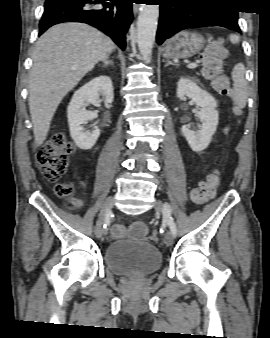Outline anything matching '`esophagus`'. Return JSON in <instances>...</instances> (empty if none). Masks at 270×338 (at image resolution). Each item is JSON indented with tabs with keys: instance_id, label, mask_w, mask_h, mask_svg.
<instances>
[{
	"instance_id": "34e87169",
	"label": "esophagus",
	"mask_w": 270,
	"mask_h": 338,
	"mask_svg": "<svg viewBox=\"0 0 270 338\" xmlns=\"http://www.w3.org/2000/svg\"><path fill=\"white\" fill-rule=\"evenodd\" d=\"M138 10H139L138 5L136 3H133V12H134V14H136L138 12Z\"/></svg>"
}]
</instances>
